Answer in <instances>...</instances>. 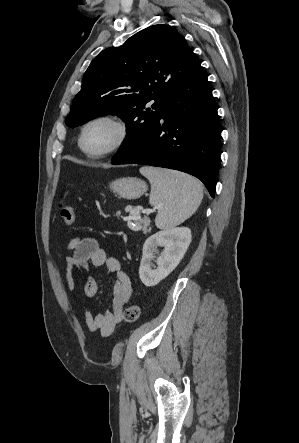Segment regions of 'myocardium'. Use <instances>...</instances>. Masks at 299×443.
I'll list each match as a JSON object with an SVG mask.
<instances>
[{
	"instance_id": "obj_1",
	"label": "myocardium",
	"mask_w": 299,
	"mask_h": 443,
	"mask_svg": "<svg viewBox=\"0 0 299 443\" xmlns=\"http://www.w3.org/2000/svg\"><path fill=\"white\" fill-rule=\"evenodd\" d=\"M99 122H108V123L112 124L117 130V138L105 150H103L101 152H91L88 149H86V147L84 145L85 134L90 126H92L93 124L99 123ZM129 133H130L129 124L125 119H123L122 117H119L117 115H114V114H103V115L96 116L85 123V125L81 129L78 143H79L80 149L88 157L93 158V159H100V158H104L106 156H109V155L117 152L118 150H120L124 146V144L127 142L128 138H129Z\"/></svg>"
}]
</instances>
